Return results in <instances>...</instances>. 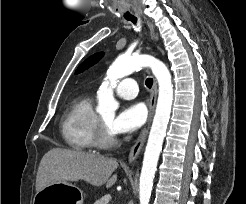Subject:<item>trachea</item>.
<instances>
[{"instance_id":"obj_1","label":"trachea","mask_w":246,"mask_h":204,"mask_svg":"<svg viewBox=\"0 0 246 204\" xmlns=\"http://www.w3.org/2000/svg\"><path fill=\"white\" fill-rule=\"evenodd\" d=\"M130 21L132 22V23H134V24H136L137 23V19H130ZM145 84H146V86L148 87V88H151L152 87V85H153V79L152 78H147L146 79V81H145Z\"/></svg>"}]
</instances>
